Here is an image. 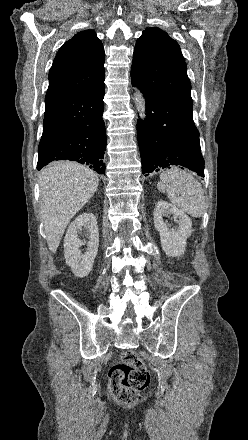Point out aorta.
Listing matches in <instances>:
<instances>
[{
	"instance_id": "762f6f07",
	"label": "aorta",
	"mask_w": 248,
	"mask_h": 440,
	"mask_svg": "<svg viewBox=\"0 0 248 440\" xmlns=\"http://www.w3.org/2000/svg\"><path fill=\"white\" fill-rule=\"evenodd\" d=\"M133 99L141 119L146 118V102L143 94L138 88L134 89Z\"/></svg>"
}]
</instances>
